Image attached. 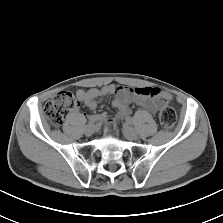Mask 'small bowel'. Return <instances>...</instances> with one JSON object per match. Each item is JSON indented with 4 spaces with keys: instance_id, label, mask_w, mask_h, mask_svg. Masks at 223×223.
I'll use <instances>...</instances> for the list:
<instances>
[{
    "instance_id": "c3829d8e",
    "label": "small bowel",
    "mask_w": 223,
    "mask_h": 223,
    "mask_svg": "<svg viewBox=\"0 0 223 223\" xmlns=\"http://www.w3.org/2000/svg\"><path fill=\"white\" fill-rule=\"evenodd\" d=\"M76 95L90 110L97 107L99 99L114 95L112 105L117 109L116 115L112 118H108L105 112L96 115L98 121L111 125L117 124L131 113V103H135L141 108L155 113L163 103L171 100V96L168 93L156 88L115 86L114 84L89 90L81 89L77 91Z\"/></svg>"
}]
</instances>
